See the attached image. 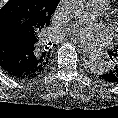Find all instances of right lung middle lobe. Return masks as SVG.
<instances>
[{
	"label": "right lung middle lobe",
	"instance_id": "obj_1",
	"mask_svg": "<svg viewBox=\"0 0 118 118\" xmlns=\"http://www.w3.org/2000/svg\"><path fill=\"white\" fill-rule=\"evenodd\" d=\"M58 3L47 0H9L0 9V25L7 24L36 32L50 24Z\"/></svg>",
	"mask_w": 118,
	"mask_h": 118
}]
</instances>
